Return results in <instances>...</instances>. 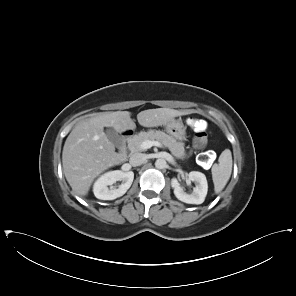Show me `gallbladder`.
<instances>
[{
  "label": "gallbladder",
  "instance_id": "gallbladder-1",
  "mask_svg": "<svg viewBox=\"0 0 296 296\" xmlns=\"http://www.w3.org/2000/svg\"><path fill=\"white\" fill-rule=\"evenodd\" d=\"M107 136L115 144V146L120 147L124 145L122 137L113 129H107Z\"/></svg>",
  "mask_w": 296,
  "mask_h": 296
}]
</instances>
